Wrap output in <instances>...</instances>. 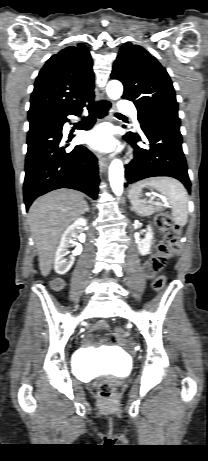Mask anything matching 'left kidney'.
<instances>
[{
	"label": "left kidney",
	"instance_id": "1",
	"mask_svg": "<svg viewBox=\"0 0 208 461\" xmlns=\"http://www.w3.org/2000/svg\"><path fill=\"white\" fill-rule=\"evenodd\" d=\"M153 233L150 226H147L145 238L138 242V251L141 255H147L150 253L152 245Z\"/></svg>",
	"mask_w": 208,
	"mask_h": 461
}]
</instances>
